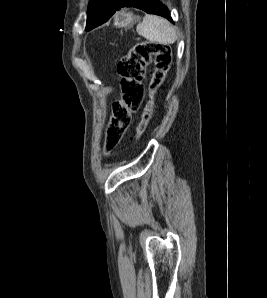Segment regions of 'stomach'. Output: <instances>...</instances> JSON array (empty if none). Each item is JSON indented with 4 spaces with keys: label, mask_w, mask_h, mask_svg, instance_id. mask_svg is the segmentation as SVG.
<instances>
[{
    "label": "stomach",
    "mask_w": 267,
    "mask_h": 298,
    "mask_svg": "<svg viewBox=\"0 0 267 298\" xmlns=\"http://www.w3.org/2000/svg\"><path fill=\"white\" fill-rule=\"evenodd\" d=\"M136 22V17L132 13L121 11L114 16V26L129 27Z\"/></svg>",
    "instance_id": "stomach-1"
}]
</instances>
